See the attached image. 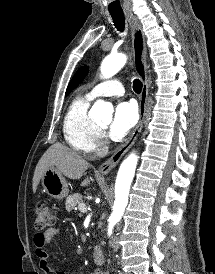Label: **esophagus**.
Listing matches in <instances>:
<instances>
[{
	"label": "esophagus",
	"mask_w": 215,
	"mask_h": 274,
	"mask_svg": "<svg viewBox=\"0 0 215 274\" xmlns=\"http://www.w3.org/2000/svg\"><path fill=\"white\" fill-rule=\"evenodd\" d=\"M126 16L132 28V44L135 70L143 83V88L140 96V118L138 124L134 128L127 141L120 148H118V150L108 160L100 165L98 170L101 174L104 175L108 174L113 168L117 166L124 154L131 148V146L136 141L143 127L147 107L149 84L146 67L147 51L145 37L137 18L131 13L126 14Z\"/></svg>",
	"instance_id": "1"
}]
</instances>
